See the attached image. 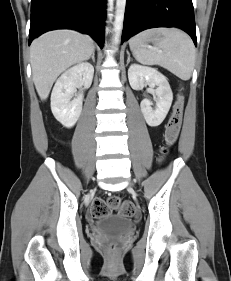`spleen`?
Wrapping results in <instances>:
<instances>
[{
  "label": "spleen",
  "instance_id": "1",
  "mask_svg": "<svg viewBox=\"0 0 231 281\" xmlns=\"http://www.w3.org/2000/svg\"><path fill=\"white\" fill-rule=\"evenodd\" d=\"M153 37L154 48L146 45ZM137 61L146 65H159L181 80H189L195 65L196 50L191 38L174 28L146 30L129 40Z\"/></svg>",
  "mask_w": 231,
  "mask_h": 281
}]
</instances>
